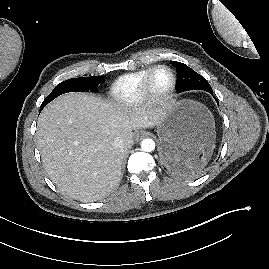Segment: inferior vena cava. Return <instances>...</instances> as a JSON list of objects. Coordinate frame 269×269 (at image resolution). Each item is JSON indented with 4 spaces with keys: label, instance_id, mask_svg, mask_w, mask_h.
Segmentation results:
<instances>
[{
    "label": "inferior vena cava",
    "instance_id": "obj_1",
    "mask_svg": "<svg viewBox=\"0 0 269 269\" xmlns=\"http://www.w3.org/2000/svg\"><path fill=\"white\" fill-rule=\"evenodd\" d=\"M112 146H114L117 149H123L124 148V141L121 137H116L112 141Z\"/></svg>",
    "mask_w": 269,
    "mask_h": 269
}]
</instances>
